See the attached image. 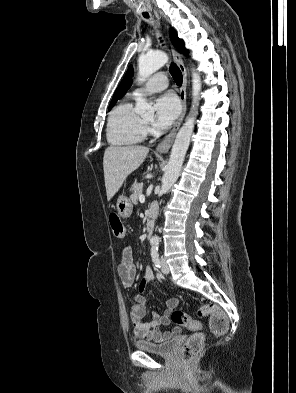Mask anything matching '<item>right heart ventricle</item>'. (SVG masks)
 <instances>
[{
  "mask_svg": "<svg viewBox=\"0 0 296 393\" xmlns=\"http://www.w3.org/2000/svg\"><path fill=\"white\" fill-rule=\"evenodd\" d=\"M106 137L111 145L119 147L133 146L144 140L145 126L132 101L124 100L110 112Z\"/></svg>",
  "mask_w": 296,
  "mask_h": 393,
  "instance_id": "1",
  "label": "right heart ventricle"
}]
</instances>
